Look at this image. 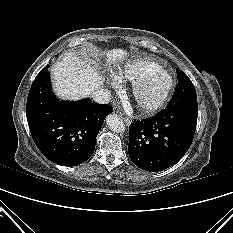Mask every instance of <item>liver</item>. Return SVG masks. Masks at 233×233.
I'll return each instance as SVG.
<instances>
[{"mask_svg":"<svg viewBox=\"0 0 233 233\" xmlns=\"http://www.w3.org/2000/svg\"><path fill=\"white\" fill-rule=\"evenodd\" d=\"M107 61L116 62L126 57L124 49L105 53ZM54 90L59 98L78 100L90 96L99 89L104 79L98 74L94 62L69 52L51 68Z\"/></svg>","mask_w":233,"mask_h":233,"instance_id":"1","label":"liver"}]
</instances>
